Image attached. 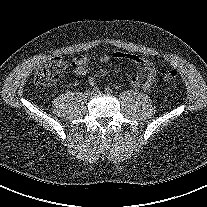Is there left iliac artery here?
I'll return each mask as SVG.
<instances>
[{"label": "left iliac artery", "instance_id": "left-iliac-artery-1", "mask_svg": "<svg viewBox=\"0 0 207 207\" xmlns=\"http://www.w3.org/2000/svg\"><path fill=\"white\" fill-rule=\"evenodd\" d=\"M105 92H106L107 94H111V93H112V89H110L109 87H107V88L105 89Z\"/></svg>", "mask_w": 207, "mask_h": 207}]
</instances>
